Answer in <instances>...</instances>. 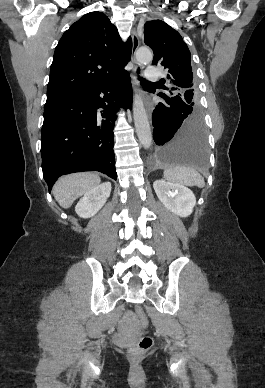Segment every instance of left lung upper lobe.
I'll return each mask as SVG.
<instances>
[{"instance_id":"obj_1","label":"left lung upper lobe","mask_w":265,"mask_h":388,"mask_svg":"<svg viewBox=\"0 0 265 388\" xmlns=\"http://www.w3.org/2000/svg\"><path fill=\"white\" fill-rule=\"evenodd\" d=\"M144 42L154 51L153 64L167 71V88L171 96H178L185 104L200 108L199 97L193 81L191 54L181 35L161 20L144 25ZM162 84L165 80H161Z\"/></svg>"}]
</instances>
